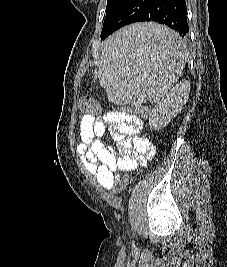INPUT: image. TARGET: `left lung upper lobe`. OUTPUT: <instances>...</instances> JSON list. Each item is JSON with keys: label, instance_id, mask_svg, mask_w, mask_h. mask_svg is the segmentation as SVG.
<instances>
[{"label": "left lung upper lobe", "instance_id": "left-lung-upper-lobe-1", "mask_svg": "<svg viewBox=\"0 0 227 267\" xmlns=\"http://www.w3.org/2000/svg\"><path fill=\"white\" fill-rule=\"evenodd\" d=\"M128 0H107L106 17L104 24L117 13Z\"/></svg>", "mask_w": 227, "mask_h": 267}]
</instances>
